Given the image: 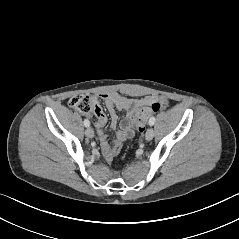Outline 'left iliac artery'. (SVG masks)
<instances>
[{
    "label": "left iliac artery",
    "instance_id": "1",
    "mask_svg": "<svg viewBox=\"0 0 239 239\" xmlns=\"http://www.w3.org/2000/svg\"><path fill=\"white\" fill-rule=\"evenodd\" d=\"M155 120H156L155 117H151L149 120V125H151V126L154 125Z\"/></svg>",
    "mask_w": 239,
    "mask_h": 239
}]
</instances>
